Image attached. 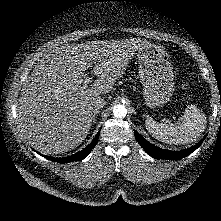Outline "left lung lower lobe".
I'll list each match as a JSON object with an SVG mask.
<instances>
[{
    "label": "left lung lower lobe",
    "instance_id": "obj_1",
    "mask_svg": "<svg viewBox=\"0 0 221 221\" xmlns=\"http://www.w3.org/2000/svg\"><path fill=\"white\" fill-rule=\"evenodd\" d=\"M135 136L137 138L138 143L142 146V148L145 150V152L148 155L156 159H169V160H178L190 155L201 145L203 141L201 140V142H199L198 144H196L195 146L189 149H185L182 151H169V150L160 149L152 145L151 143L146 141L143 137H141L138 133H135Z\"/></svg>",
    "mask_w": 221,
    "mask_h": 221
}]
</instances>
